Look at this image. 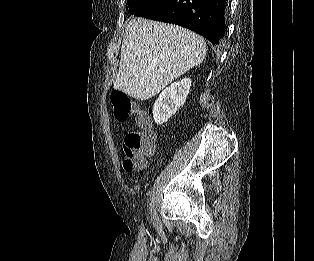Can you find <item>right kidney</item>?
Instances as JSON below:
<instances>
[{"instance_id": "obj_1", "label": "right kidney", "mask_w": 314, "mask_h": 261, "mask_svg": "<svg viewBox=\"0 0 314 261\" xmlns=\"http://www.w3.org/2000/svg\"><path fill=\"white\" fill-rule=\"evenodd\" d=\"M191 83L190 78H184L162 91L153 106V118L158 125L167 122L185 103Z\"/></svg>"}]
</instances>
